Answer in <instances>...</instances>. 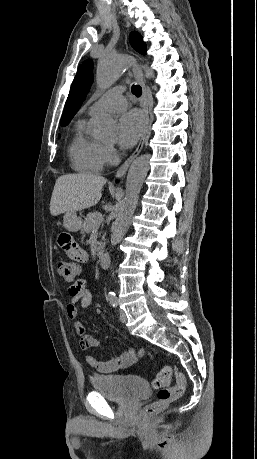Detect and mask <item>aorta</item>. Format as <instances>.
I'll list each match as a JSON object with an SVG mask.
<instances>
[{
  "label": "aorta",
  "instance_id": "obj_1",
  "mask_svg": "<svg viewBox=\"0 0 257 459\" xmlns=\"http://www.w3.org/2000/svg\"><path fill=\"white\" fill-rule=\"evenodd\" d=\"M129 58L126 55L111 56L99 63L96 72V83L101 89L109 88L127 69ZM146 76L153 78L154 74L149 67L144 66ZM91 133L94 138L106 142L114 139L115 121L106 114H100L91 119ZM149 170V157L142 155L136 158L128 171L125 197L118 211L116 220L111 228V245L115 246L124 237L129 228L139 193Z\"/></svg>",
  "mask_w": 257,
  "mask_h": 459
}]
</instances>
